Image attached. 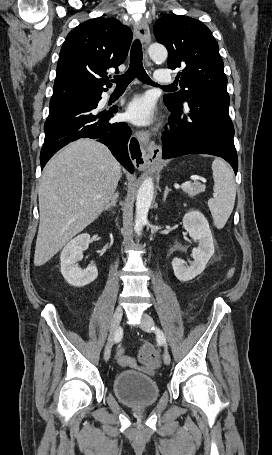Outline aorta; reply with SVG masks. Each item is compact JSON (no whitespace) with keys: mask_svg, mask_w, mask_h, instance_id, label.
<instances>
[{"mask_svg":"<svg viewBox=\"0 0 272 455\" xmlns=\"http://www.w3.org/2000/svg\"><path fill=\"white\" fill-rule=\"evenodd\" d=\"M150 58L154 62H164L167 59V49L160 44H152L148 49ZM154 194V183L151 177L145 179L141 184L136 199V214H135V232L138 236L141 235L143 226L147 223V216L151 206Z\"/></svg>","mask_w":272,"mask_h":455,"instance_id":"1","label":"aorta"}]
</instances>
